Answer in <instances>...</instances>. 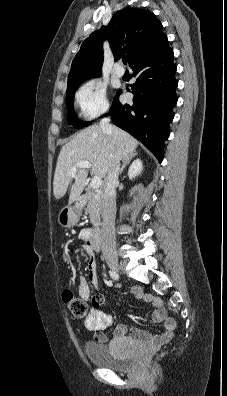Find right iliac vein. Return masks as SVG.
<instances>
[{
    "instance_id": "right-iliac-vein-1",
    "label": "right iliac vein",
    "mask_w": 227,
    "mask_h": 396,
    "mask_svg": "<svg viewBox=\"0 0 227 396\" xmlns=\"http://www.w3.org/2000/svg\"><path fill=\"white\" fill-rule=\"evenodd\" d=\"M108 265L114 271H118L121 267H123V265L120 264L117 260H109Z\"/></svg>"
}]
</instances>
